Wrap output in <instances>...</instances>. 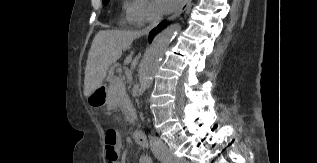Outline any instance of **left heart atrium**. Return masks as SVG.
Segmentation results:
<instances>
[{"mask_svg": "<svg viewBox=\"0 0 317 163\" xmlns=\"http://www.w3.org/2000/svg\"><path fill=\"white\" fill-rule=\"evenodd\" d=\"M181 0H155L156 6L163 12L174 10Z\"/></svg>", "mask_w": 317, "mask_h": 163, "instance_id": "39dd6f15", "label": "left heart atrium"}]
</instances>
